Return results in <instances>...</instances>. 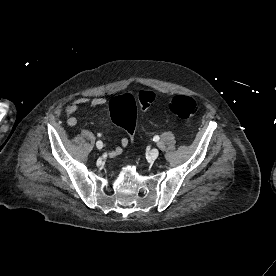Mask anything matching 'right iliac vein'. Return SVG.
I'll use <instances>...</instances> for the list:
<instances>
[{
  "mask_svg": "<svg viewBox=\"0 0 276 276\" xmlns=\"http://www.w3.org/2000/svg\"><path fill=\"white\" fill-rule=\"evenodd\" d=\"M96 147H97L98 149H102V147H103L102 141L98 140V141L96 142Z\"/></svg>",
  "mask_w": 276,
  "mask_h": 276,
  "instance_id": "right-iliac-vein-1",
  "label": "right iliac vein"
}]
</instances>
